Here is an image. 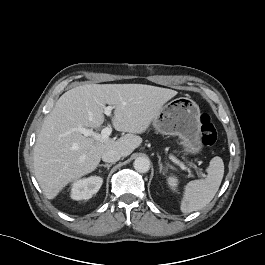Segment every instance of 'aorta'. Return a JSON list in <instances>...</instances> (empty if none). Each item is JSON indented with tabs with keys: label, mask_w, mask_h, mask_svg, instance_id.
Returning a JSON list of instances; mask_svg holds the SVG:
<instances>
[{
	"label": "aorta",
	"mask_w": 265,
	"mask_h": 265,
	"mask_svg": "<svg viewBox=\"0 0 265 265\" xmlns=\"http://www.w3.org/2000/svg\"><path fill=\"white\" fill-rule=\"evenodd\" d=\"M134 169L139 173H146L150 169V160L147 157H138L133 163Z\"/></svg>",
	"instance_id": "obj_1"
}]
</instances>
